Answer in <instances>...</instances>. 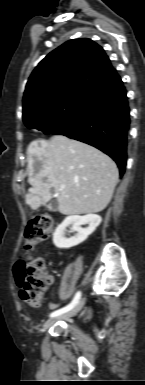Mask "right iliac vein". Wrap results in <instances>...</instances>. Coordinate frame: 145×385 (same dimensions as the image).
Segmentation results:
<instances>
[{"label":"right iliac vein","instance_id":"63e3f726","mask_svg":"<svg viewBox=\"0 0 145 385\" xmlns=\"http://www.w3.org/2000/svg\"><path fill=\"white\" fill-rule=\"evenodd\" d=\"M84 302L85 300L82 299L71 311H69L68 313H65L59 317H55V318H50L48 319L45 323H44V328H48L50 327L51 325H53L56 321L60 320V319H68V318H71L73 316H75L78 312H80V310L83 308L84 306Z\"/></svg>","mask_w":145,"mask_h":385}]
</instances>
